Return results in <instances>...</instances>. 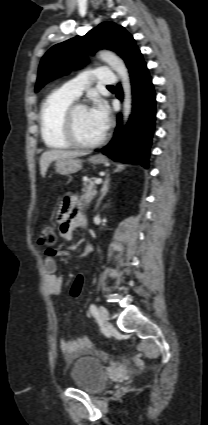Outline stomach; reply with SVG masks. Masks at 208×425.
Returning a JSON list of instances; mask_svg holds the SVG:
<instances>
[{"label": "stomach", "mask_w": 208, "mask_h": 425, "mask_svg": "<svg viewBox=\"0 0 208 425\" xmlns=\"http://www.w3.org/2000/svg\"><path fill=\"white\" fill-rule=\"evenodd\" d=\"M106 161L105 158L93 156L89 159L92 164H102ZM56 172L60 175H71L82 169V161L76 158H64L56 161Z\"/></svg>", "instance_id": "0dacf381"}]
</instances>
